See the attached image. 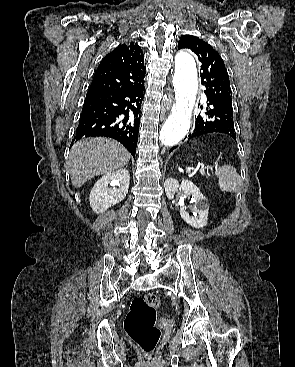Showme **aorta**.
<instances>
[{"mask_svg":"<svg viewBox=\"0 0 295 367\" xmlns=\"http://www.w3.org/2000/svg\"><path fill=\"white\" fill-rule=\"evenodd\" d=\"M173 87L176 104L160 130V140L166 146L178 144L190 129L198 91V77L195 60L186 52L176 55Z\"/></svg>","mask_w":295,"mask_h":367,"instance_id":"762f6f07","label":"aorta"}]
</instances>
